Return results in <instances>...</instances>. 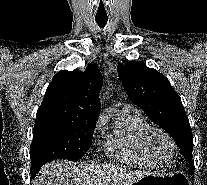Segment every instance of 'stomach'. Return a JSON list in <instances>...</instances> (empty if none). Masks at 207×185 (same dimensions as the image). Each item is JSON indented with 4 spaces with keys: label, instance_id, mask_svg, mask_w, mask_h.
Wrapping results in <instances>:
<instances>
[{
    "label": "stomach",
    "instance_id": "obj_1",
    "mask_svg": "<svg viewBox=\"0 0 207 185\" xmlns=\"http://www.w3.org/2000/svg\"><path fill=\"white\" fill-rule=\"evenodd\" d=\"M134 185H189L183 173L176 172L167 175H145L135 181Z\"/></svg>",
    "mask_w": 207,
    "mask_h": 185
}]
</instances>
